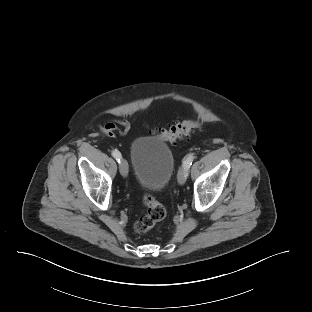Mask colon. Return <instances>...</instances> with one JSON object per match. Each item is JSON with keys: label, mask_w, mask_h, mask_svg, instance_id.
I'll use <instances>...</instances> for the list:
<instances>
[{"label": "colon", "mask_w": 312, "mask_h": 312, "mask_svg": "<svg viewBox=\"0 0 312 312\" xmlns=\"http://www.w3.org/2000/svg\"><path fill=\"white\" fill-rule=\"evenodd\" d=\"M201 128L202 125L199 121L188 120L173 124L167 129H156L154 134L164 141L175 142ZM143 203L146 207V213L134 224V229L139 234L148 232L156 223L163 220L166 216L164 206L152 194H145L143 196Z\"/></svg>", "instance_id": "1"}]
</instances>
